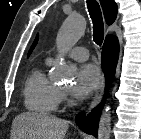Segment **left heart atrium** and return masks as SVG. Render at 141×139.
<instances>
[{
  "label": "left heart atrium",
  "instance_id": "obj_1",
  "mask_svg": "<svg viewBox=\"0 0 141 139\" xmlns=\"http://www.w3.org/2000/svg\"><path fill=\"white\" fill-rule=\"evenodd\" d=\"M100 83V72L94 64L82 65L77 72L72 94L83 99L90 96Z\"/></svg>",
  "mask_w": 141,
  "mask_h": 139
}]
</instances>
